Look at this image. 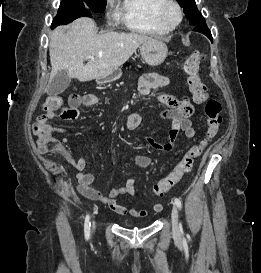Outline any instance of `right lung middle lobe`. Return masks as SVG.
<instances>
[{"label": "right lung middle lobe", "mask_w": 261, "mask_h": 273, "mask_svg": "<svg viewBox=\"0 0 261 273\" xmlns=\"http://www.w3.org/2000/svg\"><path fill=\"white\" fill-rule=\"evenodd\" d=\"M105 5L106 0H63L57 16L53 19L52 28L70 23L79 17H92L90 10L102 12Z\"/></svg>", "instance_id": "dd1d6c3e"}]
</instances>
